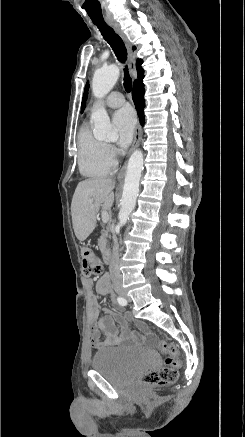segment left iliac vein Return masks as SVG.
Listing matches in <instances>:
<instances>
[{
	"label": "left iliac vein",
	"mask_w": 245,
	"mask_h": 437,
	"mask_svg": "<svg viewBox=\"0 0 245 437\" xmlns=\"http://www.w3.org/2000/svg\"><path fill=\"white\" fill-rule=\"evenodd\" d=\"M124 297L126 298V300H127L128 302H131V299H130L129 296H127L126 294H124Z\"/></svg>",
	"instance_id": "left-iliac-vein-1"
}]
</instances>
